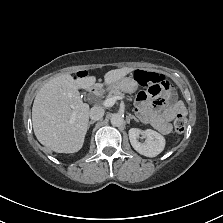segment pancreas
<instances>
[{"mask_svg": "<svg viewBox=\"0 0 223 223\" xmlns=\"http://www.w3.org/2000/svg\"><path fill=\"white\" fill-rule=\"evenodd\" d=\"M113 96L125 97V95H124L123 93L121 94L120 92L118 93V92H115V91H114V92H110V93H108L107 96H106V98H111V97H113Z\"/></svg>", "mask_w": 223, "mask_h": 223, "instance_id": "pancreas-1", "label": "pancreas"}]
</instances>
